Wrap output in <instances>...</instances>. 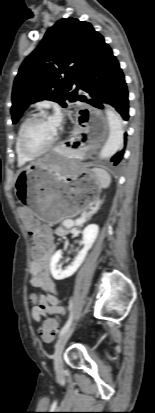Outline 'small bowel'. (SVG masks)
<instances>
[{
  "instance_id": "c3829d8e",
  "label": "small bowel",
  "mask_w": 155,
  "mask_h": 413,
  "mask_svg": "<svg viewBox=\"0 0 155 413\" xmlns=\"http://www.w3.org/2000/svg\"><path fill=\"white\" fill-rule=\"evenodd\" d=\"M15 212L22 220V226L25 231H38L46 240L47 250L42 260H33L29 266L31 275L30 285L33 288L41 289L46 292L45 295L38 296L32 294L31 299L32 317L35 321H39L41 316L46 313H54L63 315L64 310L58 303V287L55 281L51 278L49 267L54 251V241L49 227L44 226V218H32V211L26 205H17Z\"/></svg>"
}]
</instances>
